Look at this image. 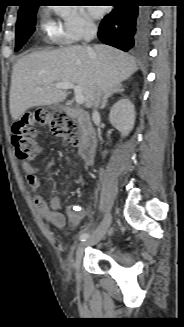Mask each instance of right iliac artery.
<instances>
[{"mask_svg":"<svg viewBox=\"0 0 184 327\" xmlns=\"http://www.w3.org/2000/svg\"><path fill=\"white\" fill-rule=\"evenodd\" d=\"M89 237V234L84 232L80 235V241H85Z\"/></svg>","mask_w":184,"mask_h":327,"instance_id":"82829eb1","label":"right iliac artery"}]
</instances>
